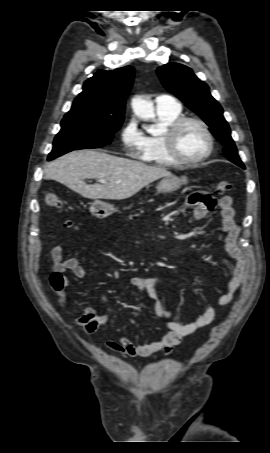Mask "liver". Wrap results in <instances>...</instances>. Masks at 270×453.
Instances as JSON below:
<instances>
[{"label":"liver","mask_w":270,"mask_h":453,"mask_svg":"<svg viewBox=\"0 0 270 453\" xmlns=\"http://www.w3.org/2000/svg\"><path fill=\"white\" fill-rule=\"evenodd\" d=\"M45 175L88 199L122 200L151 182L172 174L161 166H149L96 150H78L50 162ZM86 178L98 182L103 179L106 183L87 185Z\"/></svg>","instance_id":"6515ba94"}]
</instances>
